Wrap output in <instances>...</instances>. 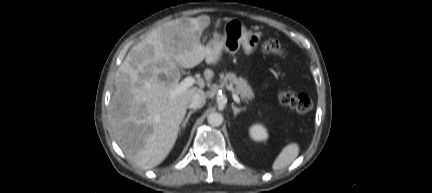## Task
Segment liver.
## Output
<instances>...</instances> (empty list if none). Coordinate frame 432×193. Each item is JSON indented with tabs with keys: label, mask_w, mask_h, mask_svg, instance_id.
Wrapping results in <instances>:
<instances>
[{
	"label": "liver",
	"mask_w": 432,
	"mask_h": 193,
	"mask_svg": "<svg viewBox=\"0 0 432 193\" xmlns=\"http://www.w3.org/2000/svg\"><path fill=\"white\" fill-rule=\"evenodd\" d=\"M209 22L208 16H199L159 26L130 50L115 75L109 106L114 138L143 169L158 166L168 156L191 97L204 94L191 87L175 97L170 95L180 78L177 66L193 68L204 59L212 65L221 58L223 37L216 31L206 46L200 42ZM219 25L217 20L216 27ZM204 77L211 81L214 73L206 69Z\"/></svg>",
	"instance_id": "6515ba94"
}]
</instances>
